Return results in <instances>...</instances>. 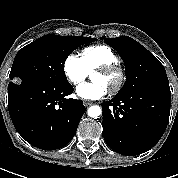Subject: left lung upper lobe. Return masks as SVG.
Instances as JSON below:
<instances>
[{
    "label": "left lung upper lobe",
    "instance_id": "5c2ea615",
    "mask_svg": "<svg viewBox=\"0 0 178 178\" xmlns=\"http://www.w3.org/2000/svg\"><path fill=\"white\" fill-rule=\"evenodd\" d=\"M104 41L118 52L125 65L126 82L117 95L140 90L171 95L164 66L145 47L128 36Z\"/></svg>",
    "mask_w": 178,
    "mask_h": 178
}]
</instances>
